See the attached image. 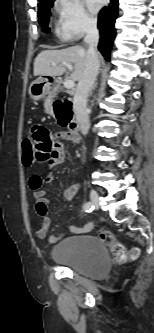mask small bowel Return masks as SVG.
Here are the masks:
<instances>
[{
  "instance_id": "c3829d8e",
  "label": "small bowel",
  "mask_w": 154,
  "mask_h": 333,
  "mask_svg": "<svg viewBox=\"0 0 154 333\" xmlns=\"http://www.w3.org/2000/svg\"><path fill=\"white\" fill-rule=\"evenodd\" d=\"M30 137L34 142L35 158L38 162H46L49 168H53L63 162L65 158V150L61 140L77 141L78 138L73 137L71 132H61L53 134L42 125H34L30 132ZM54 176L48 172L45 176L33 175L29 179V186L34 191L36 199V211L41 217L42 226L36 231V237L39 239L47 238L50 243H56L64 234H49L51 220L48 215V198L45 190L42 189L43 184L52 183ZM79 190V185L74 184L67 188L64 192L66 199L71 200ZM92 229V224L84 227L69 226L72 233L88 232Z\"/></svg>"
}]
</instances>
